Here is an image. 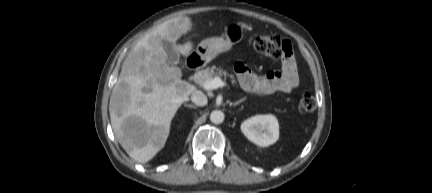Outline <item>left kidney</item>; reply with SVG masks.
<instances>
[{"mask_svg":"<svg viewBox=\"0 0 432 193\" xmlns=\"http://www.w3.org/2000/svg\"><path fill=\"white\" fill-rule=\"evenodd\" d=\"M241 131L254 144L267 147L279 138V124L274 115H256L241 124Z\"/></svg>","mask_w":432,"mask_h":193,"instance_id":"1","label":"left kidney"}]
</instances>
